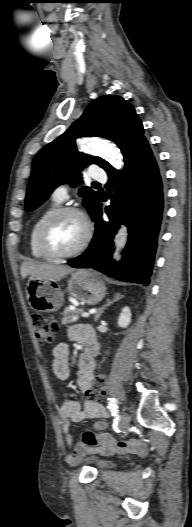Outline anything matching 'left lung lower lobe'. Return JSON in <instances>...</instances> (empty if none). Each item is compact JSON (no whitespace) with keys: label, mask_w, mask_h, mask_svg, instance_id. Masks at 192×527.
Masks as SVG:
<instances>
[{"label":"left lung lower lobe","mask_w":192,"mask_h":527,"mask_svg":"<svg viewBox=\"0 0 192 527\" xmlns=\"http://www.w3.org/2000/svg\"><path fill=\"white\" fill-rule=\"evenodd\" d=\"M111 206L109 221L102 219L100 198L94 220L96 231L88 249L68 261L75 268H93L121 281L148 285L153 268L163 213V175L146 141L131 153L122 172L108 174ZM128 226L129 240L123 260H111L112 239L119 224Z\"/></svg>","instance_id":"obj_1"}]
</instances>
